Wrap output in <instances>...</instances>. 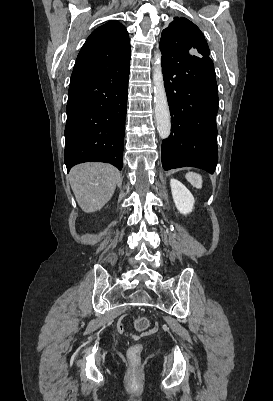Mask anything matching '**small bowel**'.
I'll use <instances>...</instances> for the list:
<instances>
[{"label":"small bowel","instance_id":"c3829d8e","mask_svg":"<svg viewBox=\"0 0 273 401\" xmlns=\"http://www.w3.org/2000/svg\"><path fill=\"white\" fill-rule=\"evenodd\" d=\"M125 316L127 317V318H130L131 316H132V313L130 312V311H127L126 313H125ZM137 320V319H136ZM124 320L122 319V317H119V318H116L115 319V326H116V328L118 329V332L120 333V334H122V336L123 337H126L127 336V333H126V328L124 327ZM161 327V324L157 321V322H155L154 324H153V327H150L149 328V332L148 331H142L141 333H140V336L142 337V338H148L149 337V335L150 334H158L159 333V328ZM150 333V334H149Z\"/></svg>","mask_w":273,"mask_h":401}]
</instances>
